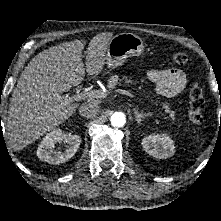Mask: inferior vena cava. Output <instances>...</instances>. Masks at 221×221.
Masks as SVG:
<instances>
[{
	"instance_id": "602c4592",
	"label": "inferior vena cava",
	"mask_w": 221,
	"mask_h": 221,
	"mask_svg": "<svg viewBox=\"0 0 221 221\" xmlns=\"http://www.w3.org/2000/svg\"><path fill=\"white\" fill-rule=\"evenodd\" d=\"M98 111H99V105L94 101L83 103L79 107V114L85 118H90L95 116L98 113Z\"/></svg>"
}]
</instances>
